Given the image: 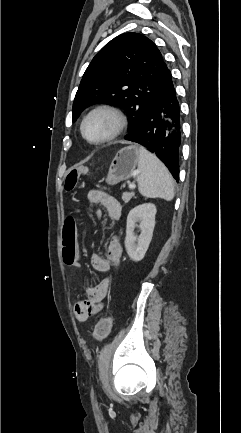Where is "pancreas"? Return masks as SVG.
<instances>
[{
	"instance_id": "pancreas-1",
	"label": "pancreas",
	"mask_w": 241,
	"mask_h": 433,
	"mask_svg": "<svg viewBox=\"0 0 241 433\" xmlns=\"http://www.w3.org/2000/svg\"><path fill=\"white\" fill-rule=\"evenodd\" d=\"M133 196H134L133 192H124L123 195H122V200L126 204V203H128L131 200V198Z\"/></svg>"
}]
</instances>
